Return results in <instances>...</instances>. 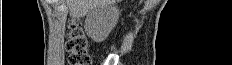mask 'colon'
I'll list each match as a JSON object with an SVG mask.
<instances>
[{"mask_svg":"<svg viewBox=\"0 0 232 65\" xmlns=\"http://www.w3.org/2000/svg\"><path fill=\"white\" fill-rule=\"evenodd\" d=\"M87 46V38L80 27V23L78 20H74L69 27L66 40V50L70 65H91Z\"/></svg>","mask_w":232,"mask_h":65,"instance_id":"obj_1","label":"colon"}]
</instances>
